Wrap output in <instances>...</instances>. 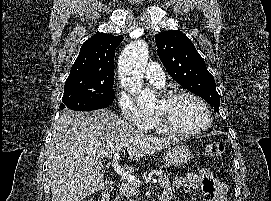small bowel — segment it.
<instances>
[{"label":"small bowel","instance_id":"1","mask_svg":"<svg viewBox=\"0 0 271 201\" xmlns=\"http://www.w3.org/2000/svg\"><path fill=\"white\" fill-rule=\"evenodd\" d=\"M177 189H183L187 193L201 190L203 201H227L225 184L207 169L190 173L185 177H175L163 194H169L172 198Z\"/></svg>","mask_w":271,"mask_h":201}]
</instances>
